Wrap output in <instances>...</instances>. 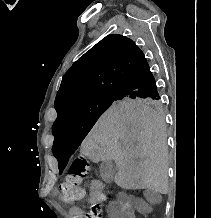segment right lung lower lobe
Returning a JSON list of instances; mask_svg holds the SVG:
<instances>
[{
    "mask_svg": "<svg viewBox=\"0 0 211 218\" xmlns=\"http://www.w3.org/2000/svg\"><path fill=\"white\" fill-rule=\"evenodd\" d=\"M117 95L120 97H160L147 61L122 84Z\"/></svg>",
    "mask_w": 211,
    "mask_h": 218,
    "instance_id": "98d812e1",
    "label": "right lung lower lobe"
}]
</instances>
